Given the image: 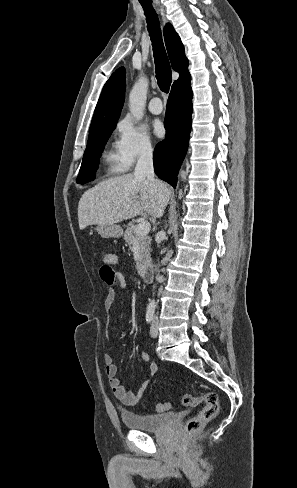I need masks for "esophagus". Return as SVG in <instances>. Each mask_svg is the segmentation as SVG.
Masks as SVG:
<instances>
[{"label": "esophagus", "mask_w": 297, "mask_h": 488, "mask_svg": "<svg viewBox=\"0 0 297 488\" xmlns=\"http://www.w3.org/2000/svg\"><path fill=\"white\" fill-rule=\"evenodd\" d=\"M159 11H160V14H161L162 19H163V24H166L167 23V20H166V17H165V11H164V9L161 6L159 7Z\"/></svg>", "instance_id": "esophagus-1"}]
</instances>
